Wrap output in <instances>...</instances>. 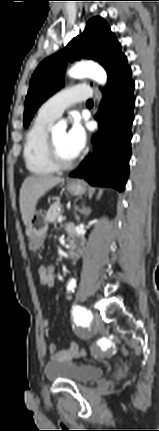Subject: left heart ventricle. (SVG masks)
I'll use <instances>...</instances> for the list:
<instances>
[{
    "mask_svg": "<svg viewBox=\"0 0 159 431\" xmlns=\"http://www.w3.org/2000/svg\"><path fill=\"white\" fill-rule=\"evenodd\" d=\"M65 135H66V132L63 130L55 131L52 133V136L60 157L65 161H70L75 157L66 147Z\"/></svg>",
    "mask_w": 159,
    "mask_h": 431,
    "instance_id": "obj_1",
    "label": "left heart ventricle"
}]
</instances>
